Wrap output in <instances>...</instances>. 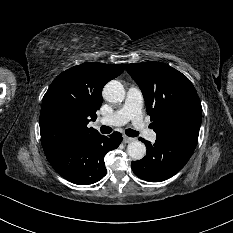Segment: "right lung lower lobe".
I'll return each instance as SVG.
<instances>
[{"instance_id":"1","label":"right lung lower lobe","mask_w":233,"mask_h":233,"mask_svg":"<svg viewBox=\"0 0 233 233\" xmlns=\"http://www.w3.org/2000/svg\"><path fill=\"white\" fill-rule=\"evenodd\" d=\"M121 141L119 132L109 136L97 133L44 148V152L51 166L66 180L88 185L106 175L104 156Z\"/></svg>"}]
</instances>
